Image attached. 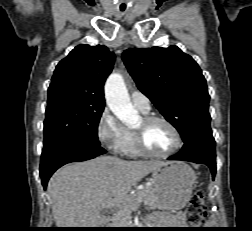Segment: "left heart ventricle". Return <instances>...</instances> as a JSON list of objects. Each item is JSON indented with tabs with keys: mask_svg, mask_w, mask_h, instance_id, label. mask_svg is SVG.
<instances>
[{
	"mask_svg": "<svg viewBox=\"0 0 252 231\" xmlns=\"http://www.w3.org/2000/svg\"><path fill=\"white\" fill-rule=\"evenodd\" d=\"M140 126L141 120L134 128H139ZM145 142L151 151L163 154L173 148L175 137L166 124L154 122L145 131Z\"/></svg>",
	"mask_w": 252,
	"mask_h": 231,
	"instance_id": "b2bd125f",
	"label": "left heart ventricle"
}]
</instances>
